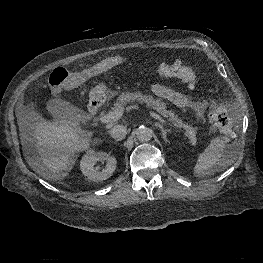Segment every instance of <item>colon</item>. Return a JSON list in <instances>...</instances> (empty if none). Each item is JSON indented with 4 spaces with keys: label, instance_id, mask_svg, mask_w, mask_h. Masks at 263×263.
<instances>
[{
    "label": "colon",
    "instance_id": "colon-1",
    "mask_svg": "<svg viewBox=\"0 0 263 263\" xmlns=\"http://www.w3.org/2000/svg\"><path fill=\"white\" fill-rule=\"evenodd\" d=\"M127 62L128 60L125 57L111 56L77 72H70L63 68H57L50 75L49 83L53 92L59 93L64 89L75 87L90 78L98 76L112 68L122 66ZM151 70L161 77L179 78L190 87H194L196 84V75L194 71L181 62L161 63ZM210 119L213 126L220 131L226 141H230L234 138L235 132L232 120L224 108L215 106L210 113Z\"/></svg>",
    "mask_w": 263,
    "mask_h": 263
}]
</instances>
